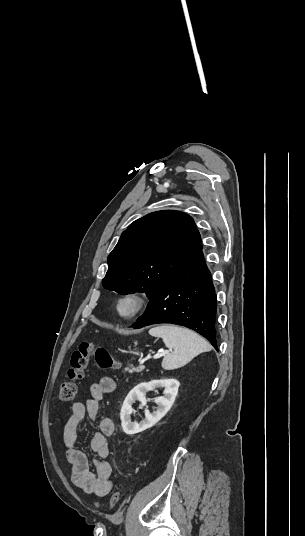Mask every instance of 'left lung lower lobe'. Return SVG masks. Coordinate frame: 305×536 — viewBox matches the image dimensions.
Instances as JSON below:
<instances>
[{
  "instance_id": "0a47b994",
  "label": "left lung lower lobe",
  "mask_w": 305,
  "mask_h": 536,
  "mask_svg": "<svg viewBox=\"0 0 305 536\" xmlns=\"http://www.w3.org/2000/svg\"><path fill=\"white\" fill-rule=\"evenodd\" d=\"M216 311L211 273L201 252L151 298L146 312L132 327L137 329L159 323L185 326L207 338L218 351L214 327Z\"/></svg>"
}]
</instances>
